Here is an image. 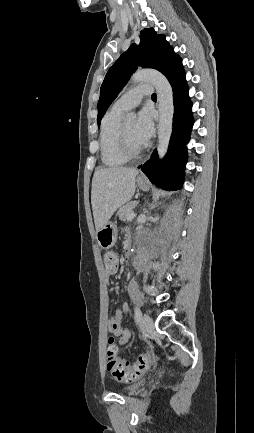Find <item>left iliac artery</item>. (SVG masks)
Instances as JSON below:
<instances>
[{"label": "left iliac artery", "instance_id": "left-iliac-artery-1", "mask_svg": "<svg viewBox=\"0 0 254 433\" xmlns=\"http://www.w3.org/2000/svg\"><path fill=\"white\" fill-rule=\"evenodd\" d=\"M135 319L138 324L141 322L142 319V313L138 305L135 307Z\"/></svg>", "mask_w": 254, "mask_h": 433}]
</instances>
